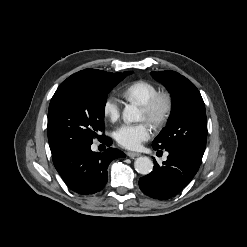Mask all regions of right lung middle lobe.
Instances as JSON below:
<instances>
[{
	"label": "right lung middle lobe",
	"mask_w": 247,
	"mask_h": 247,
	"mask_svg": "<svg viewBox=\"0 0 247 247\" xmlns=\"http://www.w3.org/2000/svg\"><path fill=\"white\" fill-rule=\"evenodd\" d=\"M132 71L97 78L71 75L60 84L48 110V141L52 155L103 138L104 107L109 91Z\"/></svg>",
	"instance_id": "dd1d6c3e"
}]
</instances>
